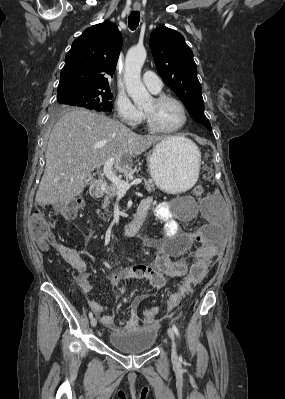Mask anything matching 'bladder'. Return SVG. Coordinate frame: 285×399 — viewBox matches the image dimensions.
<instances>
[{"instance_id": "bladder-1", "label": "bladder", "mask_w": 285, "mask_h": 399, "mask_svg": "<svg viewBox=\"0 0 285 399\" xmlns=\"http://www.w3.org/2000/svg\"><path fill=\"white\" fill-rule=\"evenodd\" d=\"M180 199L190 200L191 198L185 196ZM156 336V329L148 326L111 333L107 340L109 345L118 352L134 356L150 351L155 344Z\"/></svg>"}]
</instances>
